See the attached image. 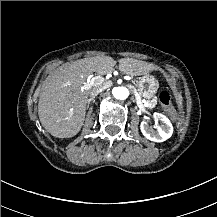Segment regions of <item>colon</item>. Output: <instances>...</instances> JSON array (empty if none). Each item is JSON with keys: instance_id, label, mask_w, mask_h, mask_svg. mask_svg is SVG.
<instances>
[{"instance_id": "5ec220e1", "label": "colon", "mask_w": 217, "mask_h": 217, "mask_svg": "<svg viewBox=\"0 0 217 217\" xmlns=\"http://www.w3.org/2000/svg\"><path fill=\"white\" fill-rule=\"evenodd\" d=\"M159 103L161 107L169 110L171 108V95L166 86L161 85L158 93Z\"/></svg>"}]
</instances>
